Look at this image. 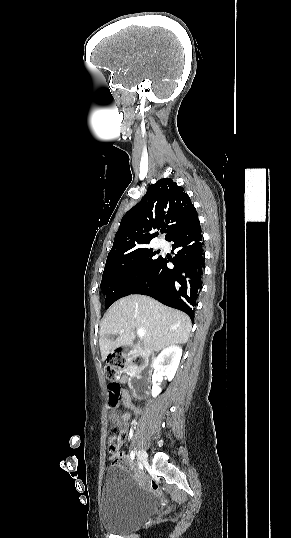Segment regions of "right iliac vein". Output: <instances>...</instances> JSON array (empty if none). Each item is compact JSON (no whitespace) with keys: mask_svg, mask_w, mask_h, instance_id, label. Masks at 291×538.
<instances>
[{"mask_svg":"<svg viewBox=\"0 0 291 538\" xmlns=\"http://www.w3.org/2000/svg\"><path fill=\"white\" fill-rule=\"evenodd\" d=\"M137 456H138V460H139L140 463L147 462L148 455H147L145 450H143V449L139 450Z\"/></svg>","mask_w":291,"mask_h":538,"instance_id":"obj_1","label":"right iliac vein"}]
</instances>
